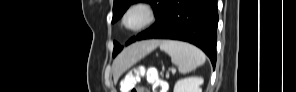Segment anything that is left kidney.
I'll return each mask as SVG.
<instances>
[{
    "label": "left kidney",
    "mask_w": 296,
    "mask_h": 92,
    "mask_svg": "<svg viewBox=\"0 0 296 92\" xmlns=\"http://www.w3.org/2000/svg\"><path fill=\"white\" fill-rule=\"evenodd\" d=\"M204 80L201 77L180 79L174 86V92H202L200 86Z\"/></svg>",
    "instance_id": "5707ae66"
}]
</instances>
